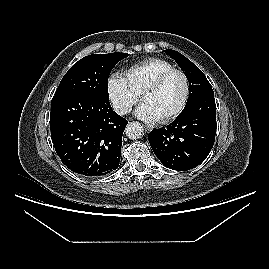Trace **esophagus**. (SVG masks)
Returning <instances> with one entry per match:
<instances>
[{"instance_id": "34e87169", "label": "esophagus", "mask_w": 269, "mask_h": 269, "mask_svg": "<svg viewBox=\"0 0 269 269\" xmlns=\"http://www.w3.org/2000/svg\"><path fill=\"white\" fill-rule=\"evenodd\" d=\"M143 128H144L145 132H149V131H151V128L148 127V126L143 125Z\"/></svg>"}]
</instances>
